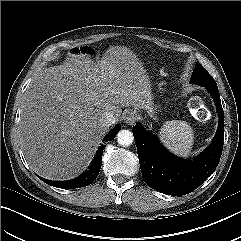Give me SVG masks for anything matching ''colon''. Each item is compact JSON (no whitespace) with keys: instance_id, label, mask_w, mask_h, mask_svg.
Wrapping results in <instances>:
<instances>
[{"instance_id":"1","label":"colon","mask_w":241,"mask_h":241,"mask_svg":"<svg viewBox=\"0 0 241 241\" xmlns=\"http://www.w3.org/2000/svg\"><path fill=\"white\" fill-rule=\"evenodd\" d=\"M189 107L191 110L194 111L198 119L205 120L208 118L209 116L208 110L205 108L202 100L199 97L197 96L192 97L189 101Z\"/></svg>"}]
</instances>
